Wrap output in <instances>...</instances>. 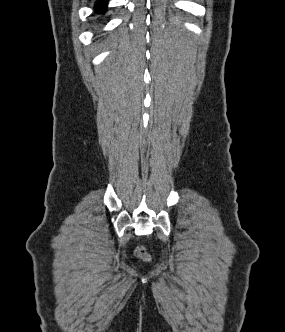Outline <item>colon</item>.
Masks as SVG:
<instances>
[{"mask_svg": "<svg viewBox=\"0 0 285 332\" xmlns=\"http://www.w3.org/2000/svg\"><path fill=\"white\" fill-rule=\"evenodd\" d=\"M137 255L140 258H146L147 257L146 252H145V250L142 247H140V248L137 249Z\"/></svg>", "mask_w": 285, "mask_h": 332, "instance_id": "1", "label": "colon"}]
</instances>
